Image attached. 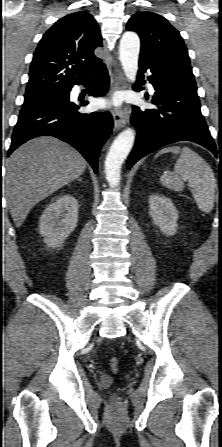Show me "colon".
Returning a JSON list of instances; mask_svg holds the SVG:
<instances>
[{
    "mask_svg": "<svg viewBox=\"0 0 222 447\" xmlns=\"http://www.w3.org/2000/svg\"><path fill=\"white\" fill-rule=\"evenodd\" d=\"M110 365H111V368H112V370H113L114 372H117V371H118V368H119V361H118L117 358L113 357V358L110 360ZM115 399H116V398H114V400H115Z\"/></svg>",
    "mask_w": 222,
    "mask_h": 447,
    "instance_id": "colon-1",
    "label": "colon"
}]
</instances>
